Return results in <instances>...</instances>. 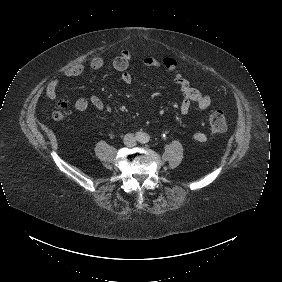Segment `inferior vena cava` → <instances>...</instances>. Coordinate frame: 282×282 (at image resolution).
Segmentation results:
<instances>
[{
    "label": "inferior vena cava",
    "mask_w": 282,
    "mask_h": 282,
    "mask_svg": "<svg viewBox=\"0 0 282 282\" xmlns=\"http://www.w3.org/2000/svg\"><path fill=\"white\" fill-rule=\"evenodd\" d=\"M123 142L127 147H133L136 145V137L133 133H127L123 138Z\"/></svg>",
    "instance_id": "602c4592"
}]
</instances>
